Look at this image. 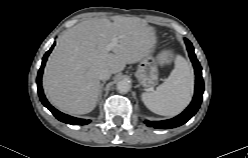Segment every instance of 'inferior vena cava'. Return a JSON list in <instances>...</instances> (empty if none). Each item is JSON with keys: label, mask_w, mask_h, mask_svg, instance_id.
<instances>
[{"label": "inferior vena cava", "mask_w": 248, "mask_h": 158, "mask_svg": "<svg viewBox=\"0 0 248 158\" xmlns=\"http://www.w3.org/2000/svg\"><path fill=\"white\" fill-rule=\"evenodd\" d=\"M112 74V71L109 68L102 69L99 73L100 80H108Z\"/></svg>", "instance_id": "1"}]
</instances>
